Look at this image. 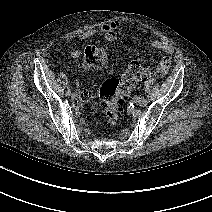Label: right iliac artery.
<instances>
[{"label": "right iliac artery", "instance_id": "obj_1", "mask_svg": "<svg viewBox=\"0 0 212 212\" xmlns=\"http://www.w3.org/2000/svg\"><path fill=\"white\" fill-rule=\"evenodd\" d=\"M71 95V89L68 88V90L66 91V96H70Z\"/></svg>", "mask_w": 212, "mask_h": 212}]
</instances>
